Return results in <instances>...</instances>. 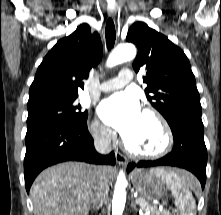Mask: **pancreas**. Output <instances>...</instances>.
<instances>
[{"label": "pancreas", "instance_id": "1", "mask_svg": "<svg viewBox=\"0 0 221 215\" xmlns=\"http://www.w3.org/2000/svg\"><path fill=\"white\" fill-rule=\"evenodd\" d=\"M143 200L141 207L144 211H149L151 215H171L168 211H159L155 206H152L147 202L145 199L141 198Z\"/></svg>", "mask_w": 221, "mask_h": 215}]
</instances>
